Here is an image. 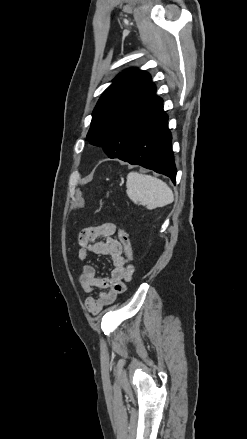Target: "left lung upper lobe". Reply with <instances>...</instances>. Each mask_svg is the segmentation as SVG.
Returning a JSON list of instances; mask_svg holds the SVG:
<instances>
[{"label":"left lung upper lobe","instance_id":"obj_1","mask_svg":"<svg viewBox=\"0 0 247 439\" xmlns=\"http://www.w3.org/2000/svg\"><path fill=\"white\" fill-rule=\"evenodd\" d=\"M155 93L148 73L131 68L119 74L92 113L88 141L122 160L139 130L163 105Z\"/></svg>","mask_w":247,"mask_h":439}]
</instances>
